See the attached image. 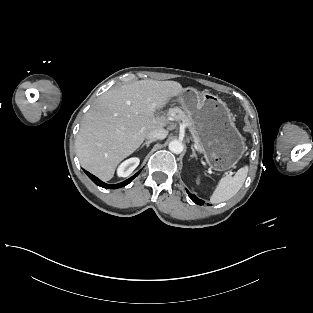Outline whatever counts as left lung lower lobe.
I'll list each match as a JSON object with an SVG mask.
<instances>
[{
  "instance_id": "obj_1",
  "label": "left lung lower lobe",
  "mask_w": 313,
  "mask_h": 313,
  "mask_svg": "<svg viewBox=\"0 0 313 313\" xmlns=\"http://www.w3.org/2000/svg\"><path fill=\"white\" fill-rule=\"evenodd\" d=\"M187 193H188L189 197L191 198V200H192L194 203H196V204H198V205H203V204H204V201H203V200L198 199L195 195L190 194L188 191H187Z\"/></svg>"
}]
</instances>
